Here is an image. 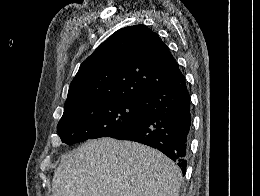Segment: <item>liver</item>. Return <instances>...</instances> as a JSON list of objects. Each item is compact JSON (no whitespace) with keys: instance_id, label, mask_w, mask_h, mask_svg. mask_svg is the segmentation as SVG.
Returning a JSON list of instances; mask_svg holds the SVG:
<instances>
[{"instance_id":"liver-1","label":"liver","mask_w":260,"mask_h":196,"mask_svg":"<svg viewBox=\"0 0 260 196\" xmlns=\"http://www.w3.org/2000/svg\"><path fill=\"white\" fill-rule=\"evenodd\" d=\"M181 170L159 150L113 138L88 140L57 168L53 196H179Z\"/></svg>"}]
</instances>
